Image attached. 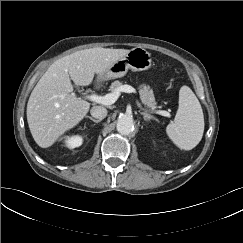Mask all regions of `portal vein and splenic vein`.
Masks as SVG:
<instances>
[{"instance_id":"1","label":"portal vein and splenic vein","mask_w":243,"mask_h":243,"mask_svg":"<svg viewBox=\"0 0 243 243\" xmlns=\"http://www.w3.org/2000/svg\"><path fill=\"white\" fill-rule=\"evenodd\" d=\"M120 92L134 93L135 89L130 85H122L116 91L106 94L105 96L91 94V95H87L86 99H88L92 102H95V103L102 104V105H111L117 101V99L120 96ZM136 103H137L138 107L142 108L141 103L139 101H137ZM154 113L162 115V116H166V117L171 116L169 112L164 111V110H156V111H154Z\"/></svg>"}]
</instances>
